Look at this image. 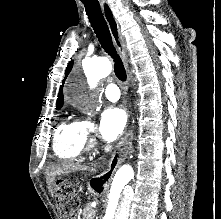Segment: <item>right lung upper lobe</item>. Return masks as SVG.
<instances>
[{
    "label": "right lung upper lobe",
    "instance_id": "right-lung-upper-lobe-1",
    "mask_svg": "<svg viewBox=\"0 0 221 219\" xmlns=\"http://www.w3.org/2000/svg\"><path fill=\"white\" fill-rule=\"evenodd\" d=\"M72 66H73V62L71 61L66 68V77L68 76L69 72L71 71ZM64 80H63V82H64ZM62 87H63V84L60 87L58 99H57V103H56V109H58V110L63 106V102H64Z\"/></svg>",
    "mask_w": 221,
    "mask_h": 219
}]
</instances>
